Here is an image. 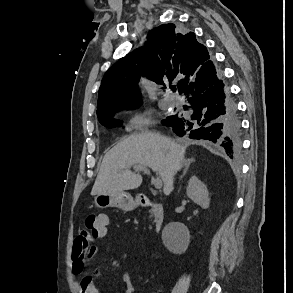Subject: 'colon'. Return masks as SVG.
I'll list each match as a JSON object with an SVG mask.
<instances>
[{
    "label": "colon",
    "mask_w": 293,
    "mask_h": 293,
    "mask_svg": "<svg viewBox=\"0 0 293 293\" xmlns=\"http://www.w3.org/2000/svg\"><path fill=\"white\" fill-rule=\"evenodd\" d=\"M108 219L103 214H88L85 218V227L94 236L103 233L107 226Z\"/></svg>",
    "instance_id": "colon-1"
}]
</instances>
